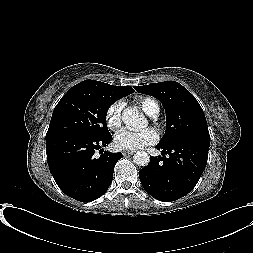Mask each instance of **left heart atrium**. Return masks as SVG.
Wrapping results in <instances>:
<instances>
[{
  "instance_id": "39dd6f15",
  "label": "left heart atrium",
  "mask_w": 253,
  "mask_h": 253,
  "mask_svg": "<svg viewBox=\"0 0 253 253\" xmlns=\"http://www.w3.org/2000/svg\"><path fill=\"white\" fill-rule=\"evenodd\" d=\"M157 140L158 134L152 128H147L142 131L122 129L115 135L114 144L120 150H137L154 144Z\"/></svg>"
}]
</instances>
